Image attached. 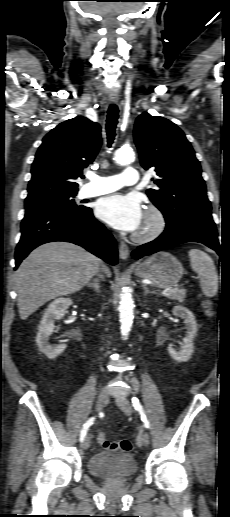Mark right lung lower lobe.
Here are the masks:
<instances>
[{"mask_svg":"<svg viewBox=\"0 0 230 517\" xmlns=\"http://www.w3.org/2000/svg\"><path fill=\"white\" fill-rule=\"evenodd\" d=\"M21 239L16 247V267L37 246L66 241L84 247L111 265L117 264L113 236L98 222L92 210L67 211L55 208L27 210L21 223Z\"/></svg>","mask_w":230,"mask_h":517,"instance_id":"1","label":"right lung lower lobe"}]
</instances>
